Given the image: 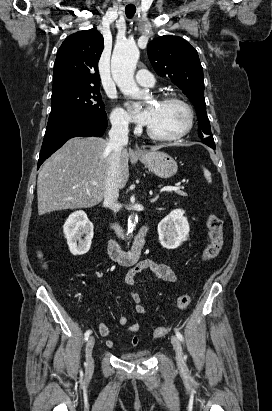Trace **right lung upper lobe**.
I'll list each match as a JSON object with an SVG mask.
<instances>
[{"label":"right lung upper lobe","mask_w":272,"mask_h":411,"mask_svg":"<svg viewBox=\"0 0 272 411\" xmlns=\"http://www.w3.org/2000/svg\"><path fill=\"white\" fill-rule=\"evenodd\" d=\"M103 44V36L95 29L68 36L57 52L52 95L74 88L100 86L97 64Z\"/></svg>","instance_id":"obj_1"}]
</instances>
